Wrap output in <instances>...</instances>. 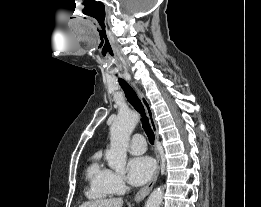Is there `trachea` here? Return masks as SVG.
<instances>
[{
    "mask_svg": "<svg viewBox=\"0 0 261 207\" xmlns=\"http://www.w3.org/2000/svg\"><path fill=\"white\" fill-rule=\"evenodd\" d=\"M118 82H119L121 88L123 89L125 96H126L127 100L129 101V103L141 115L142 127L147 134L149 142L153 145L155 136H154V133L149 124V120L146 116L144 106L142 105V103H141L140 99L138 98L137 94L135 93V91L125 80H123L122 78H118Z\"/></svg>",
    "mask_w": 261,
    "mask_h": 207,
    "instance_id": "obj_1",
    "label": "trachea"
}]
</instances>
